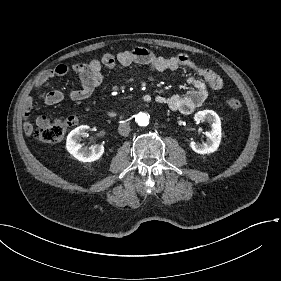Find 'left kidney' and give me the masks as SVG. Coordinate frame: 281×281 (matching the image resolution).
Returning <instances> with one entry per match:
<instances>
[{"instance_id":"5707ae66","label":"left kidney","mask_w":281,"mask_h":281,"mask_svg":"<svg viewBox=\"0 0 281 281\" xmlns=\"http://www.w3.org/2000/svg\"><path fill=\"white\" fill-rule=\"evenodd\" d=\"M194 120L197 122L207 121L211 124V130L206 133V142H190L192 150L199 154H207L216 151L221 142V120L218 114L213 110L198 111L194 115Z\"/></svg>"}]
</instances>
